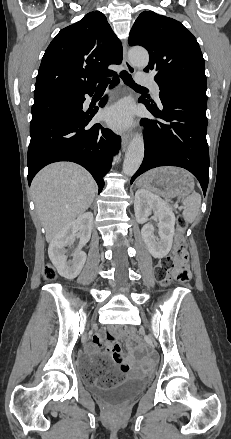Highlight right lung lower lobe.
Returning <instances> with one entry per match:
<instances>
[{
	"label": "right lung lower lobe",
	"mask_w": 231,
	"mask_h": 439,
	"mask_svg": "<svg viewBox=\"0 0 231 439\" xmlns=\"http://www.w3.org/2000/svg\"><path fill=\"white\" fill-rule=\"evenodd\" d=\"M118 82L115 76L111 87ZM94 90L95 87L74 94L75 101L69 109L31 121L27 159L29 185L44 166L57 161H71L85 167L96 180L99 193L102 191L103 177L111 168L112 156L118 152L121 138L98 123L89 124L97 109L83 110L84 95H92ZM106 102L104 97L99 105L103 107Z\"/></svg>",
	"instance_id": "obj_1"
}]
</instances>
